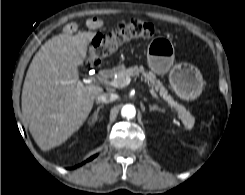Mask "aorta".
Masks as SVG:
<instances>
[{
  "label": "aorta",
  "instance_id": "762f6f07",
  "mask_svg": "<svg viewBox=\"0 0 245 195\" xmlns=\"http://www.w3.org/2000/svg\"><path fill=\"white\" fill-rule=\"evenodd\" d=\"M121 115L127 119L134 118L136 115V109L133 105L126 104L122 107Z\"/></svg>",
  "mask_w": 245,
  "mask_h": 195
}]
</instances>
